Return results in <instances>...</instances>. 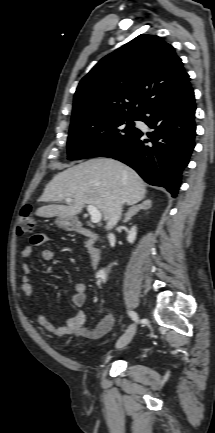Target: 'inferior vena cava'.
I'll return each instance as SVG.
<instances>
[{
	"label": "inferior vena cava",
	"mask_w": 215,
	"mask_h": 433,
	"mask_svg": "<svg viewBox=\"0 0 215 433\" xmlns=\"http://www.w3.org/2000/svg\"><path fill=\"white\" fill-rule=\"evenodd\" d=\"M122 215V206H118L115 211L112 213V215L110 216L107 225H106V229L110 230L112 229L120 220Z\"/></svg>",
	"instance_id": "1"
}]
</instances>
